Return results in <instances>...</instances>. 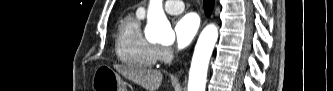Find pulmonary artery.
<instances>
[{
    "mask_svg": "<svg viewBox=\"0 0 333 91\" xmlns=\"http://www.w3.org/2000/svg\"><path fill=\"white\" fill-rule=\"evenodd\" d=\"M164 8L169 14H178L184 10V4L180 0H170L165 2ZM145 11V7H140L138 9V12L142 15L145 13Z\"/></svg>",
    "mask_w": 333,
    "mask_h": 91,
    "instance_id": "pulmonary-artery-1",
    "label": "pulmonary artery"
}]
</instances>
